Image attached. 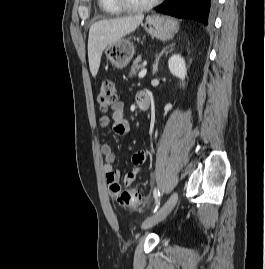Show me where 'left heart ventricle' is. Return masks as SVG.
<instances>
[{"instance_id": "obj_1", "label": "left heart ventricle", "mask_w": 265, "mask_h": 269, "mask_svg": "<svg viewBox=\"0 0 265 269\" xmlns=\"http://www.w3.org/2000/svg\"><path fill=\"white\" fill-rule=\"evenodd\" d=\"M129 1H131L133 3H136V4H142V3H146V2H148L150 0H129Z\"/></svg>"}]
</instances>
